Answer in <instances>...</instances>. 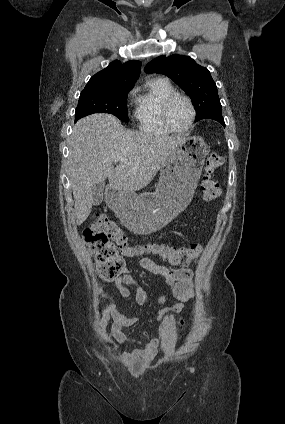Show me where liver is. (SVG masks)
<instances>
[{"instance_id":"6515ba94","label":"liver","mask_w":285,"mask_h":424,"mask_svg":"<svg viewBox=\"0 0 285 424\" xmlns=\"http://www.w3.org/2000/svg\"><path fill=\"white\" fill-rule=\"evenodd\" d=\"M184 136L128 130L113 115L93 114L80 119L69 140L68 175L75 201L76 224L92 210V187L108 178L110 187L134 193L146 187ZM125 158L126 163L117 160ZM119 164L114 167L113 162Z\"/></svg>"}]
</instances>
